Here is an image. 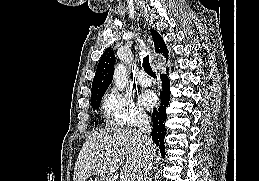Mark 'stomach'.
I'll return each mask as SVG.
<instances>
[{
    "label": "stomach",
    "instance_id": "stomach-1",
    "mask_svg": "<svg viewBox=\"0 0 259 181\" xmlns=\"http://www.w3.org/2000/svg\"><path fill=\"white\" fill-rule=\"evenodd\" d=\"M94 181H110V179L104 176H97Z\"/></svg>",
    "mask_w": 259,
    "mask_h": 181
}]
</instances>
